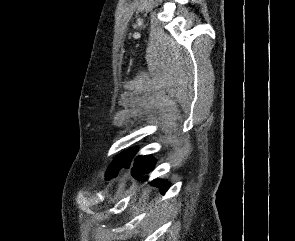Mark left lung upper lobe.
<instances>
[{"instance_id":"5c2ea615","label":"left lung upper lobe","mask_w":295,"mask_h":241,"mask_svg":"<svg viewBox=\"0 0 295 241\" xmlns=\"http://www.w3.org/2000/svg\"><path fill=\"white\" fill-rule=\"evenodd\" d=\"M134 152H135L134 150H129L119 155L111 164V166L108 168L106 172V180H109L115 177L120 168L128 166L130 164V161L133 157Z\"/></svg>"}]
</instances>
